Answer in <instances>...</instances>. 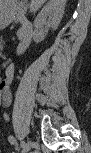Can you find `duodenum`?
I'll return each instance as SVG.
<instances>
[{"instance_id":"1","label":"duodenum","mask_w":91,"mask_h":153,"mask_svg":"<svg viewBox=\"0 0 91 153\" xmlns=\"http://www.w3.org/2000/svg\"><path fill=\"white\" fill-rule=\"evenodd\" d=\"M10 15L12 19L18 21L21 25L19 29V43L17 46V53L22 54L30 45L33 34V26L26 18L23 9H16Z\"/></svg>"}]
</instances>
